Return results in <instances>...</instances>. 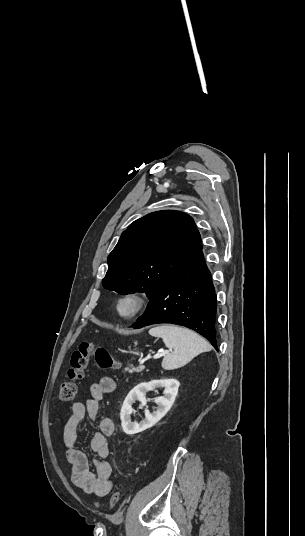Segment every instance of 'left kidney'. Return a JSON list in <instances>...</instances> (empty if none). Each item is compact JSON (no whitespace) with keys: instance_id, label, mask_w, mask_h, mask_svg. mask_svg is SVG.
<instances>
[{"instance_id":"5707ae66","label":"left kidney","mask_w":305,"mask_h":536,"mask_svg":"<svg viewBox=\"0 0 305 536\" xmlns=\"http://www.w3.org/2000/svg\"><path fill=\"white\" fill-rule=\"evenodd\" d=\"M179 386L180 382H178V380H173V378H165V380H152V382H142V384L135 386V388L129 392L128 396H126L120 412L121 426L125 434L132 436V434H138V432H143V430L152 428L154 424H157V422H159V420H161V418H163V416L169 412L171 406H173L175 398L178 394ZM155 388H165L163 392L164 396H159V398H156L155 400L156 404H158L156 412L150 414L149 410H145V418L142 420V422H140V424H137V422H132V406L135 404V400H139V402H141V406H146V392L155 390Z\"/></svg>"}]
</instances>
